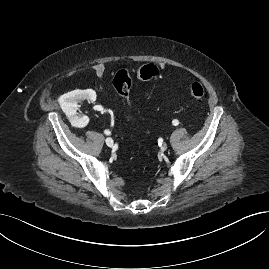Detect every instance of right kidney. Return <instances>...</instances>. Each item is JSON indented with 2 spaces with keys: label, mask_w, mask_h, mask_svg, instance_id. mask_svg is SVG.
<instances>
[{
  "label": "right kidney",
  "mask_w": 269,
  "mask_h": 269,
  "mask_svg": "<svg viewBox=\"0 0 269 269\" xmlns=\"http://www.w3.org/2000/svg\"><path fill=\"white\" fill-rule=\"evenodd\" d=\"M87 99L89 102L96 100V92L92 89L74 90L62 95L59 98L60 106L70 121H76L80 126H86L89 118L87 116H78L76 109L78 102Z\"/></svg>",
  "instance_id": "right-kidney-1"
}]
</instances>
